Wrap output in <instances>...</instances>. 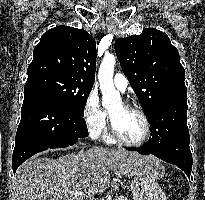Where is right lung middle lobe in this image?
<instances>
[{
    "instance_id": "right-lung-middle-lobe-1",
    "label": "right lung middle lobe",
    "mask_w": 205,
    "mask_h": 200,
    "mask_svg": "<svg viewBox=\"0 0 205 200\" xmlns=\"http://www.w3.org/2000/svg\"><path fill=\"white\" fill-rule=\"evenodd\" d=\"M92 87L61 75L43 74L27 79L24 90L34 88L48 92L67 108L83 116Z\"/></svg>"
}]
</instances>
